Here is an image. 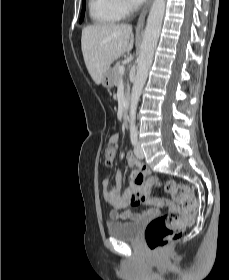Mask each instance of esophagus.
Returning a JSON list of instances; mask_svg holds the SVG:
<instances>
[{
  "label": "esophagus",
  "instance_id": "obj_1",
  "mask_svg": "<svg viewBox=\"0 0 229 280\" xmlns=\"http://www.w3.org/2000/svg\"><path fill=\"white\" fill-rule=\"evenodd\" d=\"M153 0H147L145 6L143 7L142 11H141V14H140V17H139V20H138V23H137V29H141L144 25V22H145V18L147 16V13L151 7V4H152Z\"/></svg>",
  "mask_w": 229,
  "mask_h": 280
}]
</instances>
